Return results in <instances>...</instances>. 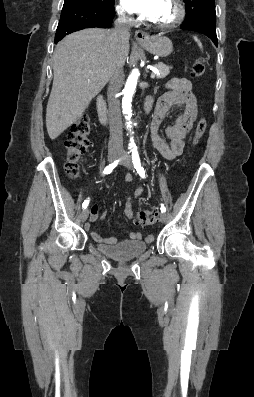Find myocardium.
<instances>
[{"instance_id":"1","label":"myocardium","mask_w":254,"mask_h":397,"mask_svg":"<svg viewBox=\"0 0 254 397\" xmlns=\"http://www.w3.org/2000/svg\"><path fill=\"white\" fill-rule=\"evenodd\" d=\"M172 3L175 7V17L166 23H154L153 25L162 30L172 29L180 25L185 17V10L182 4L178 0H172Z\"/></svg>"}]
</instances>
